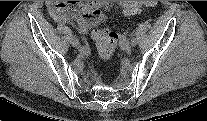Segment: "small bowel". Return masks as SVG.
I'll return each mask as SVG.
<instances>
[{"label":"small bowel","instance_id":"c3829d8e","mask_svg":"<svg viewBox=\"0 0 207 121\" xmlns=\"http://www.w3.org/2000/svg\"><path fill=\"white\" fill-rule=\"evenodd\" d=\"M152 2L148 1V3ZM46 7L55 21L62 23L76 22L81 32L89 31L103 20V14L100 10L101 3L98 1H47ZM87 51L82 52L87 53Z\"/></svg>","mask_w":207,"mask_h":121}]
</instances>
